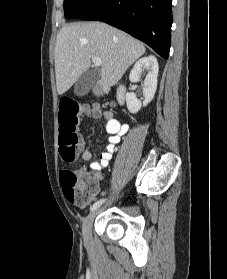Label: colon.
Listing matches in <instances>:
<instances>
[{
	"label": "colon",
	"mask_w": 227,
	"mask_h": 279,
	"mask_svg": "<svg viewBox=\"0 0 227 279\" xmlns=\"http://www.w3.org/2000/svg\"><path fill=\"white\" fill-rule=\"evenodd\" d=\"M98 113L91 105H79L72 100H64L59 105V153L62 160L71 163L78 155L80 137L76 131L79 116ZM61 183L65 193L82 205L96 193L95 179H86L78 171L66 170L61 173Z\"/></svg>",
	"instance_id": "obj_1"
}]
</instances>
